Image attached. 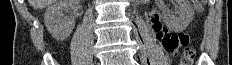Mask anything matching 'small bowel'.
Returning a JSON list of instances; mask_svg holds the SVG:
<instances>
[{"label": "small bowel", "mask_w": 232, "mask_h": 65, "mask_svg": "<svg viewBox=\"0 0 232 65\" xmlns=\"http://www.w3.org/2000/svg\"><path fill=\"white\" fill-rule=\"evenodd\" d=\"M150 25L152 30L156 34L157 40L162 43L163 36L168 33V31L162 27L160 19L158 15H154L150 20Z\"/></svg>", "instance_id": "1"}]
</instances>
